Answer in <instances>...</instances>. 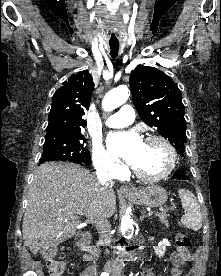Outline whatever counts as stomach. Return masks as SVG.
Masks as SVG:
<instances>
[{"mask_svg": "<svg viewBox=\"0 0 221 276\" xmlns=\"http://www.w3.org/2000/svg\"><path fill=\"white\" fill-rule=\"evenodd\" d=\"M126 198L138 205L160 207L166 203L168 195L164 188L158 185H149L137 190L132 195H126Z\"/></svg>", "mask_w": 221, "mask_h": 276, "instance_id": "stomach-1", "label": "stomach"}]
</instances>
